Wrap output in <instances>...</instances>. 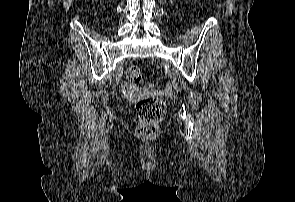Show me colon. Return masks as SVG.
I'll return each instance as SVG.
<instances>
[{"label":"colon","instance_id":"5ec220e1","mask_svg":"<svg viewBox=\"0 0 295 202\" xmlns=\"http://www.w3.org/2000/svg\"><path fill=\"white\" fill-rule=\"evenodd\" d=\"M126 77L131 84L137 85L142 80V73L138 66L131 65L127 68ZM139 123L136 133L142 138L154 136L158 130V124L166 112V104L159 97L144 98L137 103Z\"/></svg>","mask_w":295,"mask_h":202}]
</instances>
